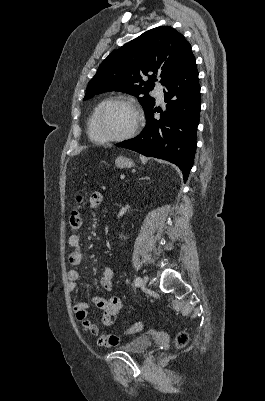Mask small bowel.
Returning a JSON list of instances; mask_svg holds the SVG:
<instances>
[{"mask_svg":"<svg viewBox=\"0 0 265 401\" xmlns=\"http://www.w3.org/2000/svg\"><path fill=\"white\" fill-rule=\"evenodd\" d=\"M102 203V194L99 192H93L89 198V204L92 208H98ZM68 244L71 250L68 254V262L72 266L81 264L83 260V252L81 250V238L79 235L72 234L68 238ZM68 277V288L70 291L75 290L77 281L79 279V273L76 269H70L67 273ZM114 271L110 267H105L101 273L99 279L100 289L105 293L112 292ZM92 306H96L101 310V321L105 326H112L122 309V301L116 296L110 298H102L98 296L91 297L86 302L76 303L73 306V310L76 314L77 319L81 322L83 328L98 336V344L102 347H114L120 343V338L116 335L99 334L98 327L88 319L89 310Z\"/></svg>","mask_w":265,"mask_h":401,"instance_id":"small-bowel-1","label":"small bowel"}]
</instances>
